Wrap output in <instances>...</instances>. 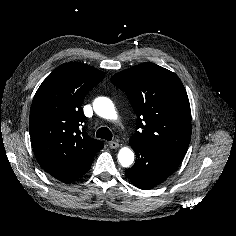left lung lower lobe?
Instances as JSON below:
<instances>
[{"instance_id": "1", "label": "left lung lower lobe", "mask_w": 236, "mask_h": 236, "mask_svg": "<svg viewBox=\"0 0 236 236\" xmlns=\"http://www.w3.org/2000/svg\"><path fill=\"white\" fill-rule=\"evenodd\" d=\"M129 143L136 153L137 160L133 167L125 171V174L136 187L143 190L165 181L183 158L144 144Z\"/></svg>"}]
</instances>
